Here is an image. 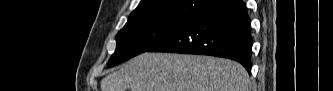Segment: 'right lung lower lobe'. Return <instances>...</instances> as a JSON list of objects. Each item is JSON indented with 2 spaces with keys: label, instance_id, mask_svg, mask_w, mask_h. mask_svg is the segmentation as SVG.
Here are the masks:
<instances>
[{
  "label": "right lung lower lobe",
  "instance_id": "98d812e1",
  "mask_svg": "<svg viewBox=\"0 0 333 91\" xmlns=\"http://www.w3.org/2000/svg\"><path fill=\"white\" fill-rule=\"evenodd\" d=\"M251 22L242 0H217L148 52L233 59L251 73Z\"/></svg>",
  "mask_w": 333,
  "mask_h": 91
}]
</instances>
